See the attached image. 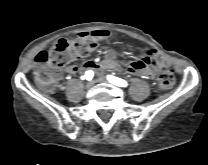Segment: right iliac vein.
I'll use <instances>...</instances> for the list:
<instances>
[{"label":"right iliac vein","mask_w":208,"mask_h":165,"mask_svg":"<svg viewBox=\"0 0 208 165\" xmlns=\"http://www.w3.org/2000/svg\"><path fill=\"white\" fill-rule=\"evenodd\" d=\"M93 86H94V81H89V82L86 84V88H87V89H91Z\"/></svg>","instance_id":"63e3f726"}]
</instances>
